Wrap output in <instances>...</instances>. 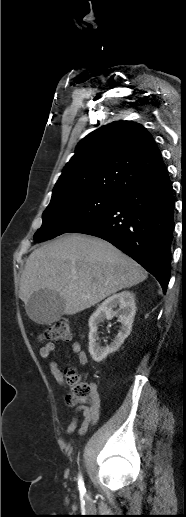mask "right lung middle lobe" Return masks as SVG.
Wrapping results in <instances>:
<instances>
[{"label": "right lung middle lobe", "mask_w": 186, "mask_h": 517, "mask_svg": "<svg viewBox=\"0 0 186 517\" xmlns=\"http://www.w3.org/2000/svg\"><path fill=\"white\" fill-rule=\"evenodd\" d=\"M120 196L79 193L51 199L43 223L34 234L36 242L52 239L95 217L114 205Z\"/></svg>", "instance_id": "obj_1"}]
</instances>
